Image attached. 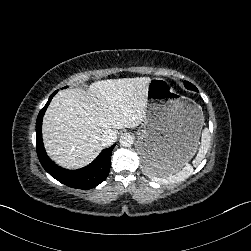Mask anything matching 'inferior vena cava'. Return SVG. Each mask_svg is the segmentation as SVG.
I'll use <instances>...</instances> for the list:
<instances>
[{"mask_svg": "<svg viewBox=\"0 0 251 251\" xmlns=\"http://www.w3.org/2000/svg\"><path fill=\"white\" fill-rule=\"evenodd\" d=\"M116 140H117V132L112 129L105 130L101 134L100 141L103 147L111 146Z\"/></svg>", "mask_w": 251, "mask_h": 251, "instance_id": "obj_1", "label": "inferior vena cava"}]
</instances>
